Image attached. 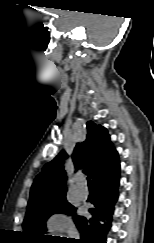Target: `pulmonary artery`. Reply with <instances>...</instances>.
Here are the masks:
<instances>
[{
  "mask_svg": "<svg viewBox=\"0 0 154 243\" xmlns=\"http://www.w3.org/2000/svg\"><path fill=\"white\" fill-rule=\"evenodd\" d=\"M76 194L81 200H84L88 197V190L83 186H78L76 188Z\"/></svg>",
  "mask_w": 154,
  "mask_h": 243,
  "instance_id": "e3ab8cb5",
  "label": "pulmonary artery"
}]
</instances>
